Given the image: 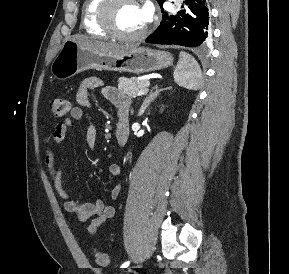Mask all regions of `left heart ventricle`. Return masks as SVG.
Masks as SVG:
<instances>
[{
	"label": "left heart ventricle",
	"instance_id": "b2bd125f",
	"mask_svg": "<svg viewBox=\"0 0 289 274\" xmlns=\"http://www.w3.org/2000/svg\"><path fill=\"white\" fill-rule=\"evenodd\" d=\"M114 24L120 32L125 34L139 32L146 25L141 6L133 3L120 4L114 14Z\"/></svg>",
	"mask_w": 289,
	"mask_h": 274
}]
</instances>
